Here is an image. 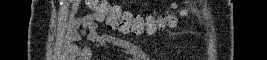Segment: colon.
Segmentation results:
<instances>
[{
    "label": "colon",
    "mask_w": 267,
    "mask_h": 60,
    "mask_svg": "<svg viewBox=\"0 0 267 60\" xmlns=\"http://www.w3.org/2000/svg\"><path fill=\"white\" fill-rule=\"evenodd\" d=\"M85 2L94 19L104 21L108 27L121 32L153 33L175 22L174 11L144 17L125 12L107 1L88 0Z\"/></svg>",
    "instance_id": "colon-1"
}]
</instances>
